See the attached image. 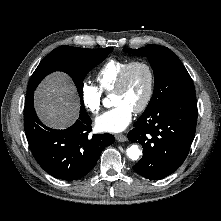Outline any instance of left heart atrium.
<instances>
[{"label": "left heart atrium", "instance_id": "1", "mask_svg": "<svg viewBox=\"0 0 221 221\" xmlns=\"http://www.w3.org/2000/svg\"><path fill=\"white\" fill-rule=\"evenodd\" d=\"M133 110L125 104H118L96 118V127L103 132L123 131L131 122Z\"/></svg>", "mask_w": 221, "mask_h": 221}]
</instances>
